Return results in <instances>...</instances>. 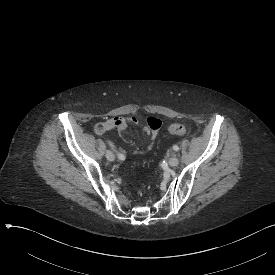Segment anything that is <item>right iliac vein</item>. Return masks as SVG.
<instances>
[{"instance_id":"obj_1","label":"right iliac vein","mask_w":275,"mask_h":275,"mask_svg":"<svg viewBox=\"0 0 275 275\" xmlns=\"http://www.w3.org/2000/svg\"><path fill=\"white\" fill-rule=\"evenodd\" d=\"M106 157H107V159H108L109 161H114V160H115V155H114L113 152L110 151V150H107V152H106Z\"/></svg>"}]
</instances>
